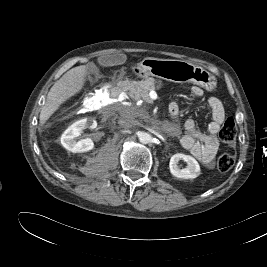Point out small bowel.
<instances>
[{"label": "small bowel", "mask_w": 267, "mask_h": 267, "mask_svg": "<svg viewBox=\"0 0 267 267\" xmlns=\"http://www.w3.org/2000/svg\"><path fill=\"white\" fill-rule=\"evenodd\" d=\"M203 95V90L199 87L190 89V96L199 98ZM208 107L211 111L212 121L209 123L208 132L199 131L192 118H188L184 123L185 134L181 139L182 146L188 150L197 160L207 167L213 166L214 158L219 149L217 134L225 119V111L221 101L216 97L208 99ZM176 114L180 110L179 103L173 101L170 106Z\"/></svg>", "instance_id": "small-bowel-1"}]
</instances>
